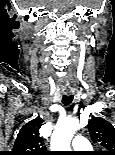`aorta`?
<instances>
[{
    "label": "aorta",
    "mask_w": 115,
    "mask_h": 155,
    "mask_svg": "<svg viewBox=\"0 0 115 155\" xmlns=\"http://www.w3.org/2000/svg\"><path fill=\"white\" fill-rule=\"evenodd\" d=\"M78 128L79 120L77 118L59 121L51 138V149L53 151H70L71 139Z\"/></svg>",
    "instance_id": "aorta-1"
}]
</instances>
